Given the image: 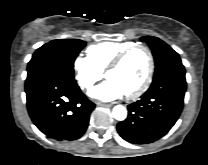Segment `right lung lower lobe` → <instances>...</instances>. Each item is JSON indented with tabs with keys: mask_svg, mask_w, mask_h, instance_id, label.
Returning <instances> with one entry per match:
<instances>
[{
	"mask_svg": "<svg viewBox=\"0 0 208 165\" xmlns=\"http://www.w3.org/2000/svg\"><path fill=\"white\" fill-rule=\"evenodd\" d=\"M25 92L29 115L48 138L72 141L85 133L95 104L74 78L58 72L42 73L26 81Z\"/></svg>",
	"mask_w": 208,
	"mask_h": 165,
	"instance_id": "right-lung-lower-lobe-1",
	"label": "right lung lower lobe"
}]
</instances>
